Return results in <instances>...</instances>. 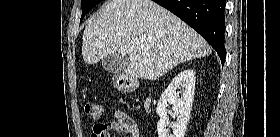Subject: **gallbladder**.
<instances>
[{"label": "gallbladder", "instance_id": "gallbladder-1", "mask_svg": "<svg viewBox=\"0 0 280 137\" xmlns=\"http://www.w3.org/2000/svg\"><path fill=\"white\" fill-rule=\"evenodd\" d=\"M129 64V59L126 56L118 53L105 56L101 65L103 69L110 74H118L123 72Z\"/></svg>", "mask_w": 280, "mask_h": 137}]
</instances>
